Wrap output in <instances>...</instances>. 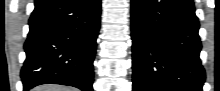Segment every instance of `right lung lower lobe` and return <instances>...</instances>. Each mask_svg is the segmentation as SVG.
I'll return each instance as SVG.
<instances>
[{
    "label": "right lung lower lobe",
    "instance_id": "98d812e1",
    "mask_svg": "<svg viewBox=\"0 0 220 91\" xmlns=\"http://www.w3.org/2000/svg\"><path fill=\"white\" fill-rule=\"evenodd\" d=\"M100 14V0H35L24 45V91L46 83L93 91Z\"/></svg>",
    "mask_w": 220,
    "mask_h": 91
}]
</instances>
